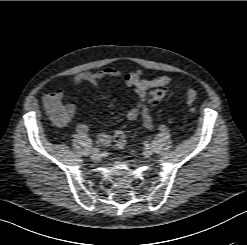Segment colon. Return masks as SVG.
Wrapping results in <instances>:
<instances>
[{
	"label": "colon",
	"mask_w": 247,
	"mask_h": 245,
	"mask_svg": "<svg viewBox=\"0 0 247 245\" xmlns=\"http://www.w3.org/2000/svg\"><path fill=\"white\" fill-rule=\"evenodd\" d=\"M167 95L165 88H157L149 92L150 100L153 103H158L163 100ZM187 102L190 106H193L197 101V93L190 89L187 91ZM49 113L55 122H62L66 118V112L61 106H54L49 110ZM114 142L117 147L124 148L126 145V136L120 129L114 131Z\"/></svg>",
	"instance_id": "5ec220e1"
}]
</instances>
